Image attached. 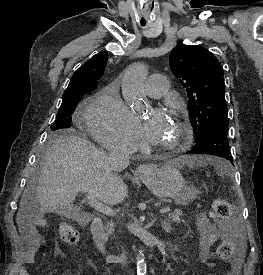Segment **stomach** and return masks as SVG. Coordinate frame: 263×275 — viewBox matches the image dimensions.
I'll return each instance as SVG.
<instances>
[{
    "instance_id": "obj_1",
    "label": "stomach",
    "mask_w": 263,
    "mask_h": 275,
    "mask_svg": "<svg viewBox=\"0 0 263 275\" xmlns=\"http://www.w3.org/2000/svg\"><path fill=\"white\" fill-rule=\"evenodd\" d=\"M177 166L178 162L173 161L158 168H149L142 180L156 196L172 198L176 203L185 205L195 199L198 191L186 186Z\"/></svg>"
}]
</instances>
